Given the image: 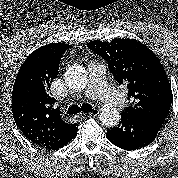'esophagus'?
Returning a JSON list of instances; mask_svg holds the SVG:
<instances>
[{"label": "esophagus", "mask_w": 178, "mask_h": 178, "mask_svg": "<svg viewBox=\"0 0 178 178\" xmlns=\"http://www.w3.org/2000/svg\"><path fill=\"white\" fill-rule=\"evenodd\" d=\"M99 114V110L98 109H94L92 112L86 114V113H81L80 116L81 117H91V116H97Z\"/></svg>", "instance_id": "1"}]
</instances>
